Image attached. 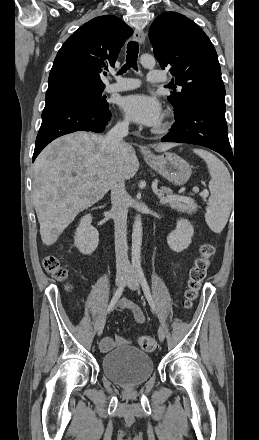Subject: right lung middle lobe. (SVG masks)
I'll return each mask as SVG.
<instances>
[{
	"instance_id": "1",
	"label": "right lung middle lobe",
	"mask_w": 259,
	"mask_h": 440,
	"mask_svg": "<svg viewBox=\"0 0 259 440\" xmlns=\"http://www.w3.org/2000/svg\"><path fill=\"white\" fill-rule=\"evenodd\" d=\"M104 88L75 87L50 94H46V104L60 101L78 100L95 104L102 108H108L109 104L102 97Z\"/></svg>"
}]
</instances>
